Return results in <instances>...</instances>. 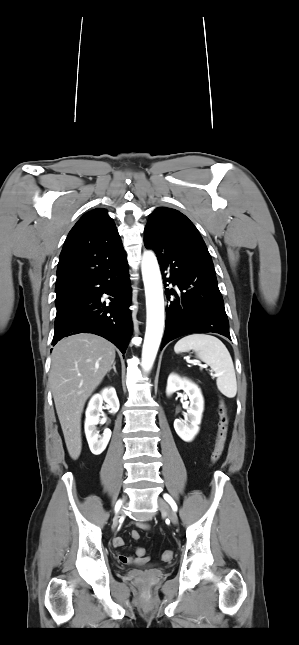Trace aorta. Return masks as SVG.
Returning <instances> with one entry per match:
<instances>
[{
  "label": "aorta",
  "mask_w": 299,
  "mask_h": 645,
  "mask_svg": "<svg viewBox=\"0 0 299 645\" xmlns=\"http://www.w3.org/2000/svg\"><path fill=\"white\" fill-rule=\"evenodd\" d=\"M142 276L146 295L147 321L142 349V367L152 368L161 342L164 327V297L161 273L156 256L146 251L142 259Z\"/></svg>",
  "instance_id": "aorta-1"
}]
</instances>
